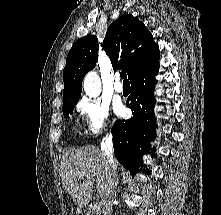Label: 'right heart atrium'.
<instances>
[{"mask_svg":"<svg viewBox=\"0 0 221 215\" xmlns=\"http://www.w3.org/2000/svg\"><path fill=\"white\" fill-rule=\"evenodd\" d=\"M76 110L90 135H98L109 127V106L95 97H83L76 105Z\"/></svg>","mask_w":221,"mask_h":215,"instance_id":"right-heart-atrium-1","label":"right heart atrium"}]
</instances>
